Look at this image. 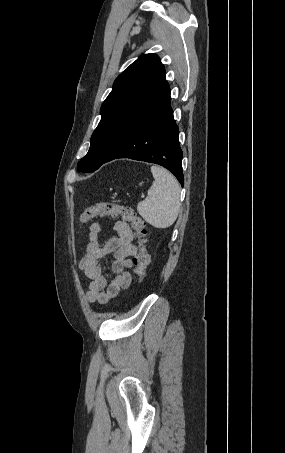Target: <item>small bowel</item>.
<instances>
[{
    "label": "small bowel",
    "mask_w": 285,
    "mask_h": 453,
    "mask_svg": "<svg viewBox=\"0 0 285 453\" xmlns=\"http://www.w3.org/2000/svg\"><path fill=\"white\" fill-rule=\"evenodd\" d=\"M101 228L102 225L99 222L90 226L89 240L79 262V268L90 280L87 291L88 301L106 303L129 287L131 274L128 270L132 267V257L137 254V247L133 243L134 234L126 222L114 223L117 235L104 244L98 238ZM111 254L114 257L111 269L115 277L109 281L108 276L103 272L101 261Z\"/></svg>",
    "instance_id": "small-bowel-1"
}]
</instances>
